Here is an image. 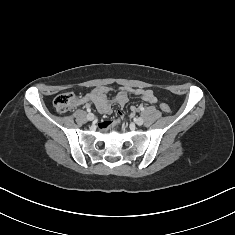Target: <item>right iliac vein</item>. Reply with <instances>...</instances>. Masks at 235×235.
Wrapping results in <instances>:
<instances>
[{"instance_id": "obj_1", "label": "right iliac vein", "mask_w": 235, "mask_h": 235, "mask_svg": "<svg viewBox=\"0 0 235 235\" xmlns=\"http://www.w3.org/2000/svg\"><path fill=\"white\" fill-rule=\"evenodd\" d=\"M87 119H88L89 121H93V120L95 119L94 114H93V113H89V114L87 115Z\"/></svg>"}]
</instances>
